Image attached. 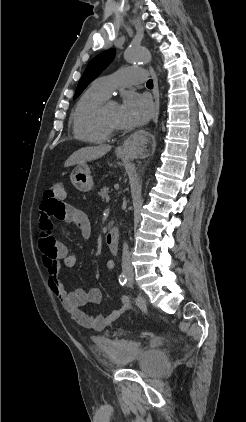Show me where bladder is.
<instances>
[{"mask_svg":"<svg viewBox=\"0 0 246 422\" xmlns=\"http://www.w3.org/2000/svg\"><path fill=\"white\" fill-rule=\"evenodd\" d=\"M97 349L101 355L118 365L138 363L143 349L139 341L127 338H104L97 343ZM150 358L155 367H164L167 364V356L160 348L150 351Z\"/></svg>","mask_w":246,"mask_h":422,"instance_id":"obj_1","label":"bladder"}]
</instances>
